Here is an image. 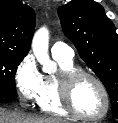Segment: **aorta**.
Instances as JSON below:
<instances>
[{"label": "aorta", "mask_w": 118, "mask_h": 123, "mask_svg": "<svg viewBox=\"0 0 118 123\" xmlns=\"http://www.w3.org/2000/svg\"><path fill=\"white\" fill-rule=\"evenodd\" d=\"M48 46L49 31L46 27H42L34 34L32 50L37 61L42 65L43 71L46 73H52L56 70V64L50 60Z\"/></svg>", "instance_id": "aorta-1"}]
</instances>
